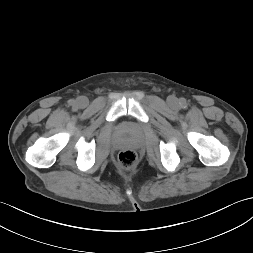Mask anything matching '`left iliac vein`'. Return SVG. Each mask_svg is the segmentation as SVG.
<instances>
[{"label": "left iliac vein", "instance_id": "1", "mask_svg": "<svg viewBox=\"0 0 253 253\" xmlns=\"http://www.w3.org/2000/svg\"><path fill=\"white\" fill-rule=\"evenodd\" d=\"M168 103H169L170 105H176V104H177V100H176L174 97H170V98L168 99Z\"/></svg>", "mask_w": 253, "mask_h": 253}]
</instances>
